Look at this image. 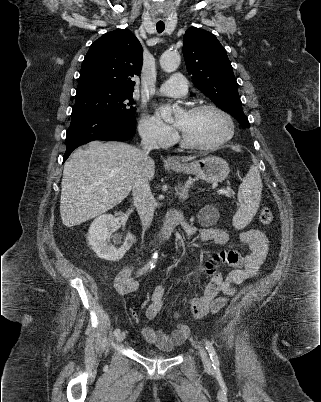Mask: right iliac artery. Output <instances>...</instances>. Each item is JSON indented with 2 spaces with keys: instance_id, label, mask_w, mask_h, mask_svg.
I'll list each match as a JSON object with an SVG mask.
<instances>
[{
  "instance_id": "obj_1",
  "label": "right iliac artery",
  "mask_w": 321,
  "mask_h": 402,
  "mask_svg": "<svg viewBox=\"0 0 321 402\" xmlns=\"http://www.w3.org/2000/svg\"><path fill=\"white\" fill-rule=\"evenodd\" d=\"M150 266H145L144 268H142L138 274H143L147 269H149ZM120 333V329H115L114 334L117 336Z\"/></svg>"
}]
</instances>
